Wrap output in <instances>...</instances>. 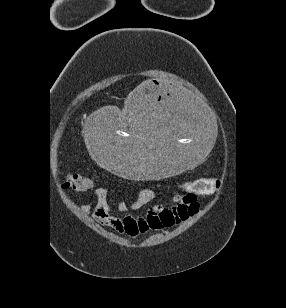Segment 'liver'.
<instances>
[{"label":"liver","instance_id":"6515ba94","mask_svg":"<svg viewBox=\"0 0 286 308\" xmlns=\"http://www.w3.org/2000/svg\"><path fill=\"white\" fill-rule=\"evenodd\" d=\"M125 113H126V112H125ZM125 113H124L123 116H122L123 118H124Z\"/></svg>","mask_w":286,"mask_h":308}]
</instances>
